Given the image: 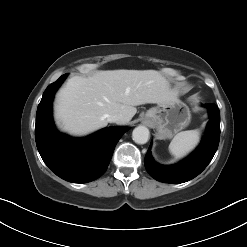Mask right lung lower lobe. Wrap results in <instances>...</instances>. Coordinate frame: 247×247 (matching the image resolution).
Segmentation results:
<instances>
[{
	"instance_id": "98d812e1",
	"label": "right lung lower lobe",
	"mask_w": 247,
	"mask_h": 247,
	"mask_svg": "<svg viewBox=\"0 0 247 247\" xmlns=\"http://www.w3.org/2000/svg\"><path fill=\"white\" fill-rule=\"evenodd\" d=\"M66 76L64 74L50 84L42 96L36 114V145L45 164L57 176L73 183H86L104 174L114 148L127 128H104L81 139L59 133L52 120V101Z\"/></svg>"
}]
</instances>
